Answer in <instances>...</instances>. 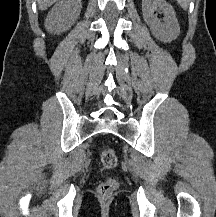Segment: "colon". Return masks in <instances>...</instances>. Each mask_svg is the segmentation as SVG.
<instances>
[{"instance_id":"1","label":"colon","mask_w":216,"mask_h":217,"mask_svg":"<svg viewBox=\"0 0 216 217\" xmlns=\"http://www.w3.org/2000/svg\"><path fill=\"white\" fill-rule=\"evenodd\" d=\"M100 165L103 169L111 170L117 167L118 157L112 148H103L100 157ZM118 188V182L113 178H108L103 181L97 189V193L102 199H109Z\"/></svg>"}]
</instances>
